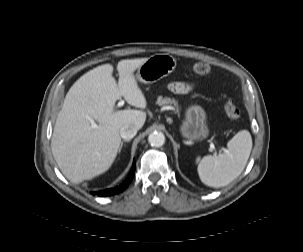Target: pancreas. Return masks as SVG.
<instances>
[{"label": "pancreas", "mask_w": 303, "mask_h": 252, "mask_svg": "<svg viewBox=\"0 0 303 252\" xmlns=\"http://www.w3.org/2000/svg\"><path fill=\"white\" fill-rule=\"evenodd\" d=\"M156 104L159 106H171L175 113L179 114L180 107L174 98L158 96Z\"/></svg>", "instance_id": "pancreas-1"}]
</instances>
